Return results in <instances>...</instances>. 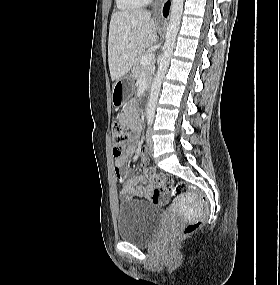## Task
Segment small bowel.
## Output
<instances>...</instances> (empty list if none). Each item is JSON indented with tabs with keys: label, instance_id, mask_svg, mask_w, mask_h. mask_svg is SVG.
I'll use <instances>...</instances> for the list:
<instances>
[{
	"label": "small bowel",
	"instance_id": "1",
	"mask_svg": "<svg viewBox=\"0 0 280 285\" xmlns=\"http://www.w3.org/2000/svg\"><path fill=\"white\" fill-rule=\"evenodd\" d=\"M120 119L132 132L135 134L139 132L140 123L137 118H128L125 114H121ZM136 149V142H131L127 146L125 154L118 156L115 160V177L116 180L122 184L120 199L122 201H127L133 197H142L149 199L155 204L165 203L166 198L154 188L151 182H148L142 177L131 176V170L127 168L128 156L134 154ZM145 160V155H141L134 167H139L144 164Z\"/></svg>",
	"mask_w": 280,
	"mask_h": 285
}]
</instances>
